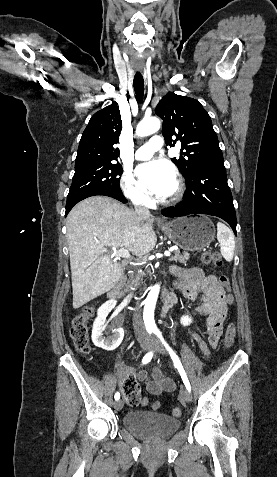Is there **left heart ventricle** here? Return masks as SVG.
Listing matches in <instances>:
<instances>
[{
  "instance_id": "b2bd125f",
  "label": "left heart ventricle",
  "mask_w": 277,
  "mask_h": 477,
  "mask_svg": "<svg viewBox=\"0 0 277 477\" xmlns=\"http://www.w3.org/2000/svg\"><path fill=\"white\" fill-rule=\"evenodd\" d=\"M175 189H176V187H175ZM175 189H174V191H175ZM174 191L171 193V195L174 193ZM171 195H170V196H171Z\"/></svg>"
}]
</instances>
